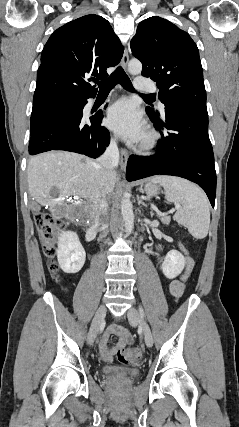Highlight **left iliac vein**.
Masks as SVG:
<instances>
[{"mask_svg": "<svg viewBox=\"0 0 239 427\" xmlns=\"http://www.w3.org/2000/svg\"><path fill=\"white\" fill-rule=\"evenodd\" d=\"M127 317H128L129 323L133 327L137 326L138 324H142L143 331H144V341H145V344L148 347H152L154 341H153V337H152L150 328L147 325V323L144 321V319L141 317V315L137 311V309H135L134 307H131L127 311Z\"/></svg>", "mask_w": 239, "mask_h": 427, "instance_id": "4c4485c4", "label": "left iliac vein"}]
</instances>
